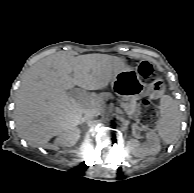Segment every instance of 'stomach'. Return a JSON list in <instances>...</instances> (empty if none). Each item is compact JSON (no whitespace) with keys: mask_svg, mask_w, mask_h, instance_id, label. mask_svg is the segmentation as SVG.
<instances>
[{"mask_svg":"<svg viewBox=\"0 0 194 193\" xmlns=\"http://www.w3.org/2000/svg\"><path fill=\"white\" fill-rule=\"evenodd\" d=\"M112 86L125 97L138 99L148 96L151 99L160 98L165 92V84L162 79L157 78L153 82L143 83L137 72L133 69L122 70L112 80Z\"/></svg>","mask_w":194,"mask_h":193,"instance_id":"0dacf381","label":"stomach"}]
</instances>
